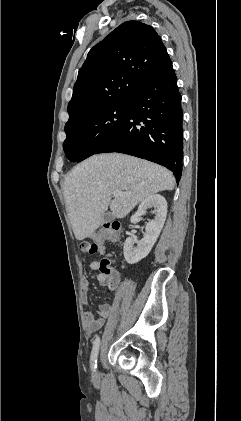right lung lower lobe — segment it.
Returning a JSON list of instances; mask_svg holds the SVG:
<instances>
[{
  "mask_svg": "<svg viewBox=\"0 0 241 421\" xmlns=\"http://www.w3.org/2000/svg\"><path fill=\"white\" fill-rule=\"evenodd\" d=\"M181 95L168 57L128 100L124 125L95 154L120 152L163 165L179 181L182 174Z\"/></svg>",
  "mask_w": 241,
  "mask_h": 421,
  "instance_id": "98d812e1",
  "label": "right lung lower lobe"
}]
</instances>
